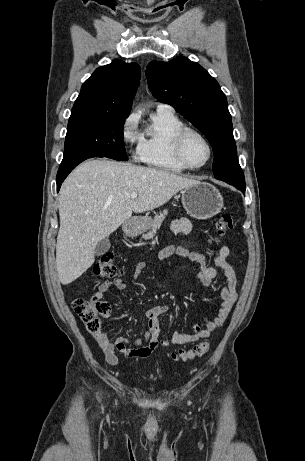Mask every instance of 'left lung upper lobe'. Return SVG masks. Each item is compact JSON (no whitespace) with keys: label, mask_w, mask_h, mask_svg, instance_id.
Returning a JSON list of instances; mask_svg holds the SVG:
<instances>
[{"label":"left lung upper lobe","mask_w":305,"mask_h":461,"mask_svg":"<svg viewBox=\"0 0 305 461\" xmlns=\"http://www.w3.org/2000/svg\"><path fill=\"white\" fill-rule=\"evenodd\" d=\"M146 75L154 97L173 106L206 136L214 152L215 178L237 188L245 186L227 98L218 82L185 57L150 62Z\"/></svg>","instance_id":"1"}]
</instances>
